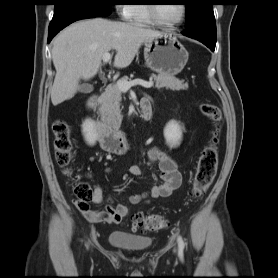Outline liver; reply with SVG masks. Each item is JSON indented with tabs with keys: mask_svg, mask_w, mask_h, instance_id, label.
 Masks as SVG:
<instances>
[{
	"mask_svg": "<svg viewBox=\"0 0 278 278\" xmlns=\"http://www.w3.org/2000/svg\"><path fill=\"white\" fill-rule=\"evenodd\" d=\"M160 31L103 18L74 23L53 41L52 60L56 76L51 89L54 106L71 99L79 80H89L101 67L102 56L116 50L114 66L131 64L142 43L161 36Z\"/></svg>",
	"mask_w": 278,
	"mask_h": 278,
	"instance_id": "1",
	"label": "liver"
}]
</instances>
